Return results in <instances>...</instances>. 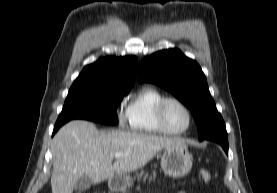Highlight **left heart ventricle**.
<instances>
[{"label":"left heart ventricle","mask_w":277,"mask_h":193,"mask_svg":"<svg viewBox=\"0 0 277 193\" xmlns=\"http://www.w3.org/2000/svg\"><path fill=\"white\" fill-rule=\"evenodd\" d=\"M165 120L168 127L174 131H180L188 125V115L184 108L175 102H170L165 108Z\"/></svg>","instance_id":"b2bd125f"}]
</instances>
